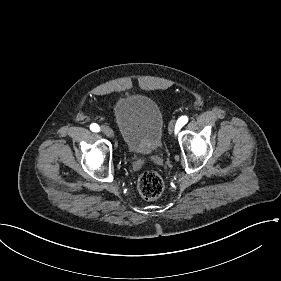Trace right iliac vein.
<instances>
[{"mask_svg": "<svg viewBox=\"0 0 281 281\" xmlns=\"http://www.w3.org/2000/svg\"><path fill=\"white\" fill-rule=\"evenodd\" d=\"M101 131L108 137H113L114 136V132L113 130L109 127V126H106V125H103L101 127Z\"/></svg>", "mask_w": 281, "mask_h": 281, "instance_id": "right-iliac-vein-1", "label": "right iliac vein"}]
</instances>
